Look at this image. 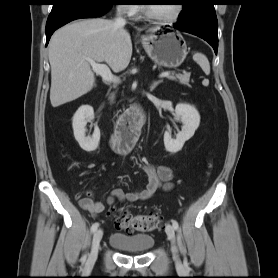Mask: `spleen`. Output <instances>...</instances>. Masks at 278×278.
<instances>
[{"instance_id":"1","label":"spleen","mask_w":278,"mask_h":278,"mask_svg":"<svg viewBox=\"0 0 278 278\" xmlns=\"http://www.w3.org/2000/svg\"><path fill=\"white\" fill-rule=\"evenodd\" d=\"M193 59L200 65L205 74H210V64L207 57L204 54L198 52L194 53Z\"/></svg>"}]
</instances>
